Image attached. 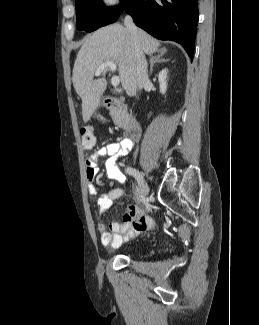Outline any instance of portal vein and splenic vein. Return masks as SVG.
Instances as JSON below:
<instances>
[{
    "mask_svg": "<svg viewBox=\"0 0 259 325\" xmlns=\"http://www.w3.org/2000/svg\"><path fill=\"white\" fill-rule=\"evenodd\" d=\"M116 68H117V65L114 62H112V61H108V62L102 63L98 67V69L96 70L95 76H100L101 73L103 71H105L106 69H110L111 71H115ZM119 83H120L119 77L118 76H113L112 79H111V84L113 86H117V85H119Z\"/></svg>",
    "mask_w": 259,
    "mask_h": 325,
    "instance_id": "portal-vein-and-splenic-vein-1",
    "label": "portal vein and splenic vein"
}]
</instances>
